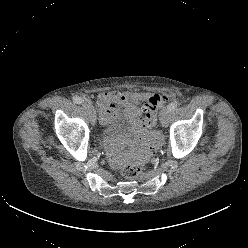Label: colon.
<instances>
[{"mask_svg": "<svg viewBox=\"0 0 248 248\" xmlns=\"http://www.w3.org/2000/svg\"><path fill=\"white\" fill-rule=\"evenodd\" d=\"M167 100L166 96L153 95L146 107L143 117V123L147 127L155 126L157 122V109ZM142 167L138 164H128L122 168V175L128 179H134L140 176Z\"/></svg>", "mask_w": 248, "mask_h": 248, "instance_id": "5ec220e1", "label": "colon"}]
</instances>
